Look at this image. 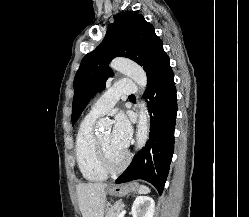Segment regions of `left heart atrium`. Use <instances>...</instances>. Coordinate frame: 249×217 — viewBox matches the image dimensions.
<instances>
[{
  "label": "left heart atrium",
  "instance_id": "obj_1",
  "mask_svg": "<svg viewBox=\"0 0 249 217\" xmlns=\"http://www.w3.org/2000/svg\"><path fill=\"white\" fill-rule=\"evenodd\" d=\"M131 127L124 115H118L115 119L113 131L111 132L112 145L120 150H124L130 141Z\"/></svg>",
  "mask_w": 249,
  "mask_h": 217
}]
</instances>
